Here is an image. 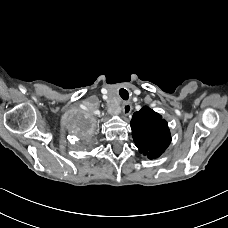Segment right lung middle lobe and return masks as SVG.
<instances>
[{
  "label": "right lung middle lobe",
  "mask_w": 228,
  "mask_h": 228,
  "mask_svg": "<svg viewBox=\"0 0 228 228\" xmlns=\"http://www.w3.org/2000/svg\"><path fill=\"white\" fill-rule=\"evenodd\" d=\"M75 133L79 136L85 137L90 133L88 125L76 122Z\"/></svg>",
  "instance_id": "obj_1"
}]
</instances>
